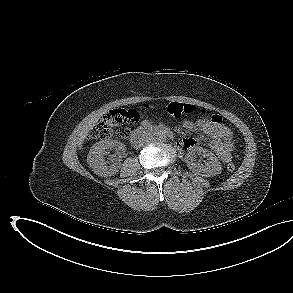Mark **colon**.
Wrapping results in <instances>:
<instances>
[{"label":"colon","instance_id":"obj_1","mask_svg":"<svg viewBox=\"0 0 293 293\" xmlns=\"http://www.w3.org/2000/svg\"><path fill=\"white\" fill-rule=\"evenodd\" d=\"M195 107L191 104L171 102L167 106V113L174 117L180 118L183 115L192 114ZM201 118L220 124L221 117L217 114H208L201 112ZM139 121V114L133 109H113L107 113L97 124L90 130V136L95 139H107L110 137L126 138L132 126ZM236 168L234 163L227 165L228 171L232 172Z\"/></svg>","mask_w":293,"mask_h":293}]
</instances>
